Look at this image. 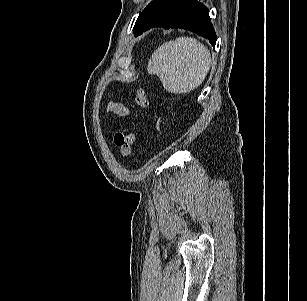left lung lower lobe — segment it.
I'll list each match as a JSON object with an SVG mask.
<instances>
[{
	"label": "left lung lower lobe",
	"mask_w": 307,
	"mask_h": 301,
	"mask_svg": "<svg viewBox=\"0 0 307 301\" xmlns=\"http://www.w3.org/2000/svg\"><path fill=\"white\" fill-rule=\"evenodd\" d=\"M152 27L190 30L208 39L213 47L216 44V33L209 17V11L197 0H179L160 21L144 31Z\"/></svg>",
	"instance_id": "0a47b994"
}]
</instances>
